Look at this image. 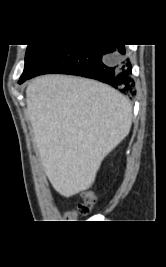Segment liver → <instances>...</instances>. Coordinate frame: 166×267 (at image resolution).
<instances>
[{
    "mask_svg": "<svg viewBox=\"0 0 166 267\" xmlns=\"http://www.w3.org/2000/svg\"><path fill=\"white\" fill-rule=\"evenodd\" d=\"M26 103L45 173L66 198L92 186L102 160L132 125L128 99L89 79L38 77L26 89Z\"/></svg>",
    "mask_w": 166,
    "mask_h": 267,
    "instance_id": "obj_1",
    "label": "liver"
}]
</instances>
